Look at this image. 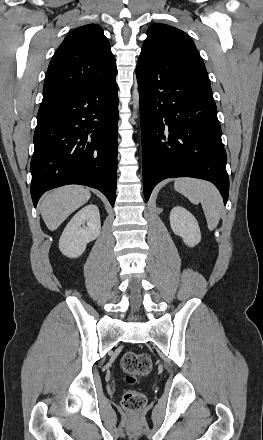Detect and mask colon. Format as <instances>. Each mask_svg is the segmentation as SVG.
<instances>
[{
  "label": "colon",
  "mask_w": 263,
  "mask_h": 440,
  "mask_svg": "<svg viewBox=\"0 0 263 440\" xmlns=\"http://www.w3.org/2000/svg\"><path fill=\"white\" fill-rule=\"evenodd\" d=\"M122 368L126 374V382L134 385L138 377L151 371L152 358L147 353L129 351L122 357ZM146 405V395L138 390L128 389L122 395V406L128 412L139 413Z\"/></svg>",
  "instance_id": "5ec220e1"
}]
</instances>
